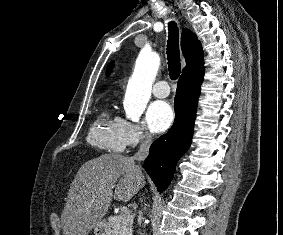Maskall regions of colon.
Masks as SVG:
<instances>
[{
    "mask_svg": "<svg viewBox=\"0 0 283 235\" xmlns=\"http://www.w3.org/2000/svg\"><path fill=\"white\" fill-rule=\"evenodd\" d=\"M52 219L55 221L57 219V216L55 214H53Z\"/></svg>",
    "mask_w": 283,
    "mask_h": 235,
    "instance_id": "colon-1",
    "label": "colon"
}]
</instances>
